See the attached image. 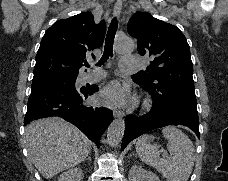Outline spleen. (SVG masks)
<instances>
[{
    "instance_id": "3e777b00",
    "label": "spleen",
    "mask_w": 228,
    "mask_h": 181,
    "mask_svg": "<svg viewBox=\"0 0 228 181\" xmlns=\"http://www.w3.org/2000/svg\"><path fill=\"white\" fill-rule=\"evenodd\" d=\"M162 133L168 141L169 157H160V151L154 145H147L148 137L138 139L136 153L149 167L157 169L166 181H188L195 161L192 141L176 127H165Z\"/></svg>"
}]
</instances>
